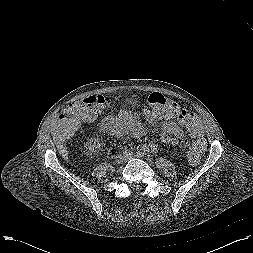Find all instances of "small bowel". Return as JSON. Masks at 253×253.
Masks as SVG:
<instances>
[{
    "mask_svg": "<svg viewBox=\"0 0 253 253\" xmlns=\"http://www.w3.org/2000/svg\"><path fill=\"white\" fill-rule=\"evenodd\" d=\"M150 111L144 110L143 114L146 117H149ZM118 122L122 125L126 132L133 137H141L143 135V128L137 118L128 110H121L118 115ZM152 123H155L151 120ZM109 120H105V124H108ZM158 127L161 132V140L167 144H177V142L182 138L183 131L181 130L178 123L172 120H164L158 124ZM63 134L64 132L61 131ZM65 135V134H64ZM67 136V135H65ZM145 150L147 152H156L158 147L154 144H146Z\"/></svg>",
    "mask_w": 253,
    "mask_h": 253,
    "instance_id": "c3829d8e",
    "label": "small bowel"
}]
</instances>
